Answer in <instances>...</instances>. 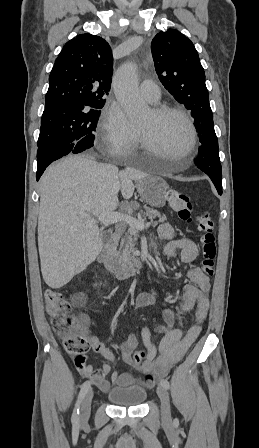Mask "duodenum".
I'll return each instance as SVG.
<instances>
[{
  "label": "duodenum",
  "mask_w": 259,
  "mask_h": 448,
  "mask_svg": "<svg viewBox=\"0 0 259 448\" xmlns=\"http://www.w3.org/2000/svg\"><path fill=\"white\" fill-rule=\"evenodd\" d=\"M119 233L113 232L98 256L99 262L110 272H112L116 278L123 280L132 277L138 271V267L135 265H127L117 259L114 255V248L119 240Z\"/></svg>",
  "instance_id": "1"
}]
</instances>
